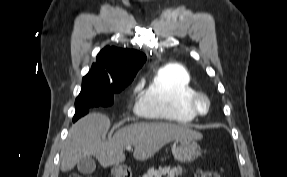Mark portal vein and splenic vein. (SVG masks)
<instances>
[{"label":"portal vein and splenic vein","mask_w":287,"mask_h":177,"mask_svg":"<svg viewBox=\"0 0 287 177\" xmlns=\"http://www.w3.org/2000/svg\"><path fill=\"white\" fill-rule=\"evenodd\" d=\"M126 149H127V150H131L132 147H131V146H127Z\"/></svg>","instance_id":"portal-vein-and-splenic-vein-1"}]
</instances>
